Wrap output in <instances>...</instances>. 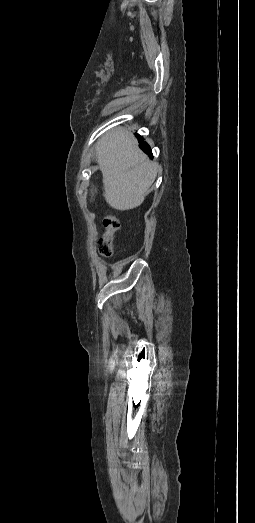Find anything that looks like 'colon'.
Instances as JSON below:
<instances>
[{
  "mask_svg": "<svg viewBox=\"0 0 255 523\" xmlns=\"http://www.w3.org/2000/svg\"><path fill=\"white\" fill-rule=\"evenodd\" d=\"M104 233L98 241V251L102 256L110 257L113 254V239L120 223L114 215H107L103 221Z\"/></svg>",
  "mask_w": 255,
  "mask_h": 523,
  "instance_id": "5ec220e1",
  "label": "colon"
}]
</instances>
